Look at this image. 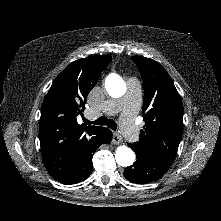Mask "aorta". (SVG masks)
<instances>
[{
    "label": "aorta",
    "instance_id": "obj_1",
    "mask_svg": "<svg viewBox=\"0 0 221 221\" xmlns=\"http://www.w3.org/2000/svg\"><path fill=\"white\" fill-rule=\"evenodd\" d=\"M107 93L114 98L122 97L126 93V83L117 74H110L105 81ZM118 165L123 167L131 166L135 161V153L127 146H119L115 152Z\"/></svg>",
    "mask_w": 221,
    "mask_h": 221
}]
</instances>
